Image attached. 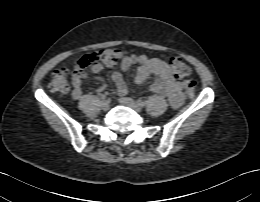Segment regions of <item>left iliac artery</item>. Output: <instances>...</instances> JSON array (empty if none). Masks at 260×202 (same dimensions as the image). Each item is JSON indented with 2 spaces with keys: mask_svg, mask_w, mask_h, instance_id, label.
<instances>
[{
  "mask_svg": "<svg viewBox=\"0 0 260 202\" xmlns=\"http://www.w3.org/2000/svg\"><path fill=\"white\" fill-rule=\"evenodd\" d=\"M136 103L140 106V107H144L145 106V101H143V100H141V99H138L137 101H136Z\"/></svg>",
  "mask_w": 260,
  "mask_h": 202,
  "instance_id": "44dca946",
  "label": "left iliac artery"
}]
</instances>
